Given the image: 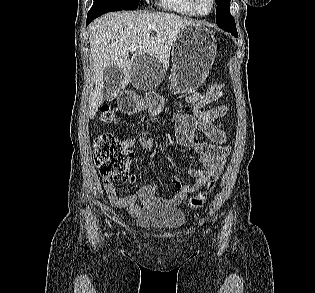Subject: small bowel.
Listing matches in <instances>:
<instances>
[{
	"label": "small bowel",
	"instance_id": "c3829d8e",
	"mask_svg": "<svg viewBox=\"0 0 315 293\" xmlns=\"http://www.w3.org/2000/svg\"><path fill=\"white\" fill-rule=\"evenodd\" d=\"M222 95L223 91L221 94L215 93L208 96L194 92L187 96V102L193 105V114H178L172 120L177 143L196 153L202 165L201 169L191 168L189 170V174L195 178L194 184H183L178 178H175L173 186L176 193L170 198H163L156 196L158 186L155 183H148L140 187L135 194L128 195H120L116 186L104 183L111 204L115 207L127 208L132 215H137L141 210L155 204L177 206L189 194L199 190L208 180L218 175L224 167L226 157L230 153V147L225 145L227 133L224 130V125L222 123L215 124V121L225 117L228 114V108L225 105L204 108L218 100ZM197 130L203 132L210 142L199 141L196 138ZM138 141L145 151H150L155 142L153 138L145 136H141ZM135 142V139H128V147H133Z\"/></svg>",
	"mask_w": 315,
	"mask_h": 293
}]
</instances>
